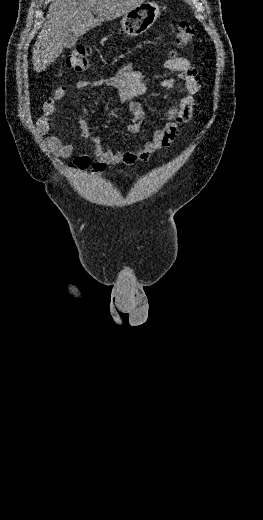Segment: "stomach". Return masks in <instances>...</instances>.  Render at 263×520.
Returning a JSON list of instances; mask_svg holds the SVG:
<instances>
[{
	"instance_id": "0dacf381",
	"label": "stomach",
	"mask_w": 263,
	"mask_h": 520,
	"mask_svg": "<svg viewBox=\"0 0 263 520\" xmlns=\"http://www.w3.org/2000/svg\"><path fill=\"white\" fill-rule=\"evenodd\" d=\"M159 14L160 7L157 3L144 1L124 14L121 20V28L128 36H139L154 24Z\"/></svg>"
}]
</instances>
